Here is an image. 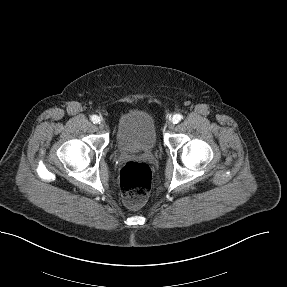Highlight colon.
Returning <instances> with one entry per match:
<instances>
[{
	"mask_svg": "<svg viewBox=\"0 0 287 287\" xmlns=\"http://www.w3.org/2000/svg\"><path fill=\"white\" fill-rule=\"evenodd\" d=\"M152 183L150 167L143 162L130 161L120 171L124 203L130 208L141 206L147 199Z\"/></svg>",
	"mask_w": 287,
	"mask_h": 287,
	"instance_id": "5ec220e1",
	"label": "colon"
}]
</instances>
